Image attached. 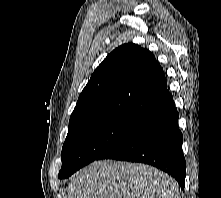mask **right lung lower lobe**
Segmentation results:
<instances>
[{"label":"right lung lower lobe","mask_w":221,"mask_h":198,"mask_svg":"<svg viewBox=\"0 0 221 198\" xmlns=\"http://www.w3.org/2000/svg\"><path fill=\"white\" fill-rule=\"evenodd\" d=\"M178 118L179 114L170 98L97 160L115 159L149 164L171 175L184 188L186 163Z\"/></svg>","instance_id":"obj_1"}]
</instances>
